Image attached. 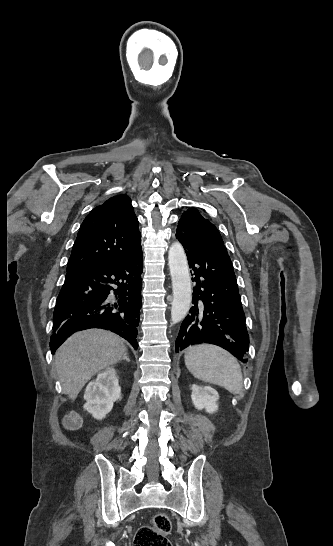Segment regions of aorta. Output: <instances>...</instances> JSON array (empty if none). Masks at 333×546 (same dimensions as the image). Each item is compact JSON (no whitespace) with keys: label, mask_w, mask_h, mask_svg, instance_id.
Instances as JSON below:
<instances>
[{"label":"aorta","mask_w":333,"mask_h":546,"mask_svg":"<svg viewBox=\"0 0 333 546\" xmlns=\"http://www.w3.org/2000/svg\"><path fill=\"white\" fill-rule=\"evenodd\" d=\"M168 263L173 286L171 319L178 323L187 315L192 300L187 258L180 243L176 242L169 248Z\"/></svg>","instance_id":"aorta-1"}]
</instances>
